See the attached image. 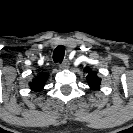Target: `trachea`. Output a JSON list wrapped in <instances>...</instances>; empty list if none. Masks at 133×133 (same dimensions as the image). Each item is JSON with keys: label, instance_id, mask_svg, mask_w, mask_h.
I'll return each mask as SVG.
<instances>
[{"label": "trachea", "instance_id": "trachea-1", "mask_svg": "<svg viewBox=\"0 0 133 133\" xmlns=\"http://www.w3.org/2000/svg\"><path fill=\"white\" fill-rule=\"evenodd\" d=\"M65 48L64 46L60 45L56 47V49L53 52V60L55 63H61L64 58Z\"/></svg>", "mask_w": 133, "mask_h": 133}]
</instances>
